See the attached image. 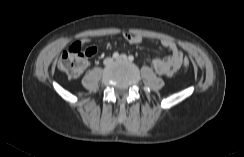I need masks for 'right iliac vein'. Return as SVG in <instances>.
<instances>
[{
	"label": "right iliac vein",
	"mask_w": 244,
	"mask_h": 157,
	"mask_svg": "<svg viewBox=\"0 0 244 157\" xmlns=\"http://www.w3.org/2000/svg\"><path fill=\"white\" fill-rule=\"evenodd\" d=\"M113 62V59L111 57H107L105 60H104V64L105 65H109Z\"/></svg>",
	"instance_id": "1"
}]
</instances>
